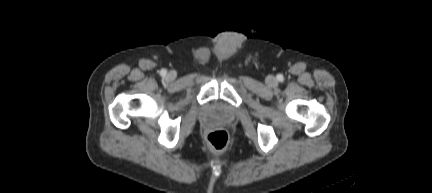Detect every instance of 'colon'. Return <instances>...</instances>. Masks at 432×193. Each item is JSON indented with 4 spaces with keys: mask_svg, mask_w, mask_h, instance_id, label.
Masks as SVG:
<instances>
[{
    "mask_svg": "<svg viewBox=\"0 0 432 193\" xmlns=\"http://www.w3.org/2000/svg\"><path fill=\"white\" fill-rule=\"evenodd\" d=\"M207 142L213 152L221 153L229 145V136L223 130H215L207 136Z\"/></svg>",
    "mask_w": 432,
    "mask_h": 193,
    "instance_id": "5ec220e1",
    "label": "colon"
}]
</instances>
